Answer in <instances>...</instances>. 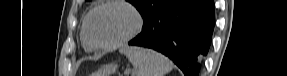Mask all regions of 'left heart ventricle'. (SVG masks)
<instances>
[{
  "label": "left heart ventricle",
  "mask_w": 287,
  "mask_h": 76,
  "mask_svg": "<svg viewBox=\"0 0 287 76\" xmlns=\"http://www.w3.org/2000/svg\"><path fill=\"white\" fill-rule=\"evenodd\" d=\"M133 24L134 18L127 9L119 6L106 7L92 16L90 35L97 43H111L126 34Z\"/></svg>",
  "instance_id": "b2bd125f"
}]
</instances>
